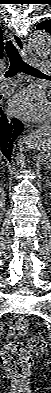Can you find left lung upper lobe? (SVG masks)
Returning <instances> with one entry per match:
<instances>
[{"label":"left lung upper lobe","mask_w":51,"mask_h":393,"mask_svg":"<svg viewBox=\"0 0 51 393\" xmlns=\"http://www.w3.org/2000/svg\"><path fill=\"white\" fill-rule=\"evenodd\" d=\"M37 30H44L51 34V19L45 20L36 26Z\"/></svg>","instance_id":"1"}]
</instances>
